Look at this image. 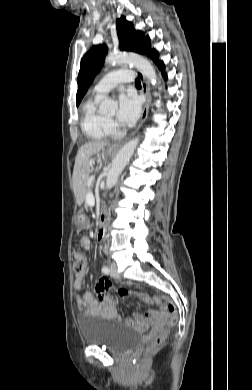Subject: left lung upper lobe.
Masks as SVG:
<instances>
[{"instance_id": "1", "label": "left lung upper lobe", "mask_w": 252, "mask_h": 390, "mask_svg": "<svg viewBox=\"0 0 252 390\" xmlns=\"http://www.w3.org/2000/svg\"><path fill=\"white\" fill-rule=\"evenodd\" d=\"M117 35L120 50L133 51L148 54L151 50L150 39L140 31H136L133 25L126 21L124 16L116 20ZM107 54L106 45L93 46L82 58L78 74V91L76 104H80L95 75L102 67L103 59Z\"/></svg>"}]
</instances>
